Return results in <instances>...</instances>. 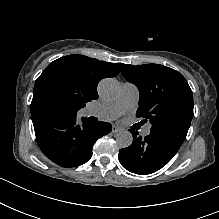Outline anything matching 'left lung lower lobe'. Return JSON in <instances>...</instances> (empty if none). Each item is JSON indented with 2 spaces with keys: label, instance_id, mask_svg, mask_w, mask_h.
<instances>
[{
  "label": "left lung lower lobe",
  "instance_id": "0a47b994",
  "mask_svg": "<svg viewBox=\"0 0 219 219\" xmlns=\"http://www.w3.org/2000/svg\"><path fill=\"white\" fill-rule=\"evenodd\" d=\"M133 142L119 150V161L128 171L139 175L154 173L164 167L177 153L180 145L158 134L142 137L130 130Z\"/></svg>",
  "mask_w": 219,
  "mask_h": 219
}]
</instances>
